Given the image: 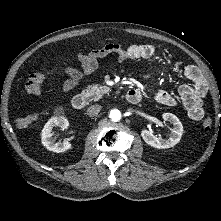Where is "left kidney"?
<instances>
[{
	"mask_svg": "<svg viewBox=\"0 0 221 221\" xmlns=\"http://www.w3.org/2000/svg\"><path fill=\"white\" fill-rule=\"evenodd\" d=\"M164 121H168L173 125L170 129V137L168 139H162L155 136L148 130H142L141 136L143 140L150 146L158 149L170 148L176 145L183 135V125L180 120L172 113H164L162 115Z\"/></svg>",
	"mask_w": 221,
	"mask_h": 221,
	"instance_id": "left-kidney-1",
	"label": "left kidney"
}]
</instances>
